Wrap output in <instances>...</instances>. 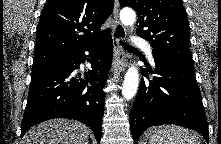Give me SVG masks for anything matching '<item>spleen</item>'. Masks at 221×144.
I'll use <instances>...</instances> for the list:
<instances>
[{"mask_svg": "<svg viewBox=\"0 0 221 144\" xmlns=\"http://www.w3.org/2000/svg\"><path fill=\"white\" fill-rule=\"evenodd\" d=\"M149 144H202V142L195 133L184 127L165 125L150 134Z\"/></svg>", "mask_w": 221, "mask_h": 144, "instance_id": "3e777b00", "label": "spleen"}]
</instances>
